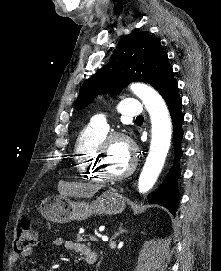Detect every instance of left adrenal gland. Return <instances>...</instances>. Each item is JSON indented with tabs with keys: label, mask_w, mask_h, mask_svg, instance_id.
I'll return each instance as SVG.
<instances>
[{
	"label": "left adrenal gland",
	"mask_w": 221,
	"mask_h": 271,
	"mask_svg": "<svg viewBox=\"0 0 221 271\" xmlns=\"http://www.w3.org/2000/svg\"><path fill=\"white\" fill-rule=\"evenodd\" d=\"M122 231H126V229H123V223H121V221H120L118 231H115L114 237H116V235H120V233H122Z\"/></svg>",
	"instance_id": "left-adrenal-gland-1"
}]
</instances>
